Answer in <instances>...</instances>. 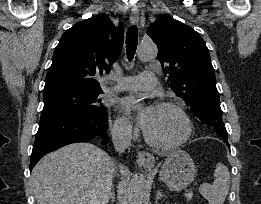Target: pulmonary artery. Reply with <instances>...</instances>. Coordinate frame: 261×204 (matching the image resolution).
Instances as JSON below:
<instances>
[{"mask_svg":"<svg viewBox=\"0 0 261 204\" xmlns=\"http://www.w3.org/2000/svg\"><path fill=\"white\" fill-rule=\"evenodd\" d=\"M156 75L152 71H144L137 76H128L118 80L111 89L114 91H136L153 89L156 86Z\"/></svg>","mask_w":261,"mask_h":204,"instance_id":"e3ab8cb5","label":"pulmonary artery"}]
</instances>
